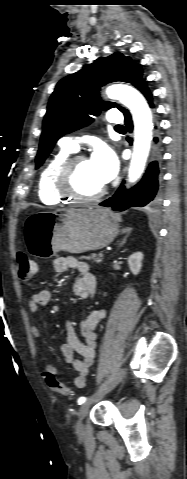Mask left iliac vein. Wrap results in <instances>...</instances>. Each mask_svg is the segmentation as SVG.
<instances>
[{
    "label": "left iliac vein",
    "instance_id": "4c4485c4",
    "mask_svg": "<svg viewBox=\"0 0 187 479\" xmlns=\"http://www.w3.org/2000/svg\"><path fill=\"white\" fill-rule=\"evenodd\" d=\"M124 374H125V369L122 368L118 372L116 377L112 380V382L108 386L107 390L113 389L122 380V378L124 377ZM90 405H91L90 402H85L80 406V408L78 410V420H77L76 425H75V429H76L77 434H82L83 431H84L83 419L88 414Z\"/></svg>",
    "mask_w": 187,
    "mask_h": 479
}]
</instances>
